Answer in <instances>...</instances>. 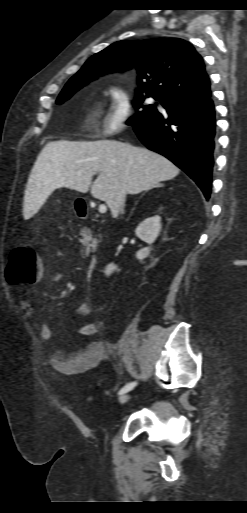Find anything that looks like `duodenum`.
Listing matches in <instances>:
<instances>
[{
	"label": "duodenum",
	"instance_id": "obj_1",
	"mask_svg": "<svg viewBox=\"0 0 247 513\" xmlns=\"http://www.w3.org/2000/svg\"><path fill=\"white\" fill-rule=\"evenodd\" d=\"M76 210H77L78 214H79L81 217H86V216H87V214H88V208H87V204H86V202H85V201H78V202L76 203ZM97 261H98L97 257H93V258L91 259L90 265H91L92 267H95V266H96V264H97Z\"/></svg>",
	"mask_w": 247,
	"mask_h": 513
}]
</instances>
